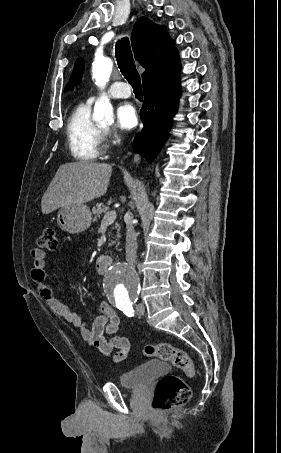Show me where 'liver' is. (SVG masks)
I'll return each mask as SVG.
<instances>
[{"instance_id": "obj_1", "label": "liver", "mask_w": 281, "mask_h": 453, "mask_svg": "<svg viewBox=\"0 0 281 453\" xmlns=\"http://www.w3.org/2000/svg\"><path fill=\"white\" fill-rule=\"evenodd\" d=\"M111 164L106 162H65L59 166L41 198L43 214L66 204H85L107 192Z\"/></svg>"}]
</instances>
